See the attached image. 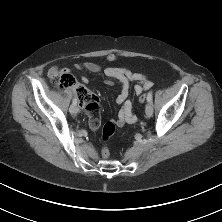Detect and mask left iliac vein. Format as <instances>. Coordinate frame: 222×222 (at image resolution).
<instances>
[{
    "label": "left iliac vein",
    "mask_w": 222,
    "mask_h": 222,
    "mask_svg": "<svg viewBox=\"0 0 222 222\" xmlns=\"http://www.w3.org/2000/svg\"><path fill=\"white\" fill-rule=\"evenodd\" d=\"M145 113L148 118H150L153 115V106L151 102L147 103L145 107Z\"/></svg>",
    "instance_id": "obj_1"
}]
</instances>
